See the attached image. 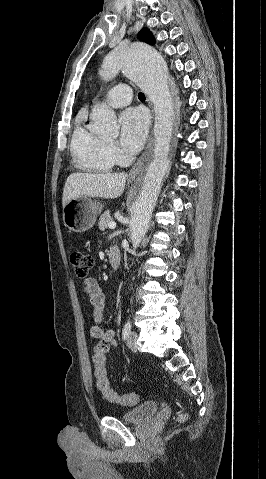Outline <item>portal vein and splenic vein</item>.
<instances>
[{
	"label": "portal vein and splenic vein",
	"mask_w": 266,
	"mask_h": 479,
	"mask_svg": "<svg viewBox=\"0 0 266 479\" xmlns=\"http://www.w3.org/2000/svg\"><path fill=\"white\" fill-rule=\"evenodd\" d=\"M108 226H109L110 229H115L116 228V223L115 222H110L108 224Z\"/></svg>",
	"instance_id": "portal-vein-and-splenic-vein-1"
}]
</instances>
